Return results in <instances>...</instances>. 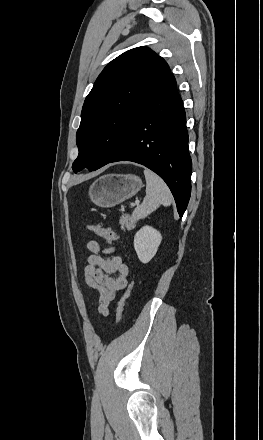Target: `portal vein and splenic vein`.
Masks as SVG:
<instances>
[{
    "label": "portal vein and splenic vein",
    "instance_id": "1",
    "mask_svg": "<svg viewBox=\"0 0 263 440\" xmlns=\"http://www.w3.org/2000/svg\"><path fill=\"white\" fill-rule=\"evenodd\" d=\"M139 203H140V201H139V200H136L134 203L131 204V206L134 207V206H136V205H139Z\"/></svg>",
    "mask_w": 263,
    "mask_h": 440
}]
</instances>
